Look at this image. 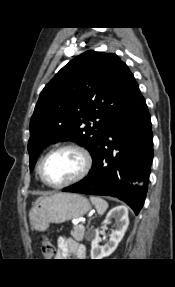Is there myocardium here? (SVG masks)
<instances>
[{
	"mask_svg": "<svg viewBox=\"0 0 175 287\" xmlns=\"http://www.w3.org/2000/svg\"><path fill=\"white\" fill-rule=\"evenodd\" d=\"M61 150H73V151H76L77 153H79L80 156L82 157V160H83V166H82L81 171L75 177L69 179L66 182L60 183V184H53L46 179L44 168H45V164H46L48 158L52 154H54L55 152L61 151ZM91 168H92V157H91L90 153L84 147H82L78 144L67 143V144H62V145H59V146L52 148L43 157V159L41 160V163L39 165V176H40L41 180L49 187L63 188V187L75 184V183L83 180L88 175Z\"/></svg>",
	"mask_w": 175,
	"mask_h": 287,
	"instance_id": "obj_1",
	"label": "myocardium"
}]
</instances>
